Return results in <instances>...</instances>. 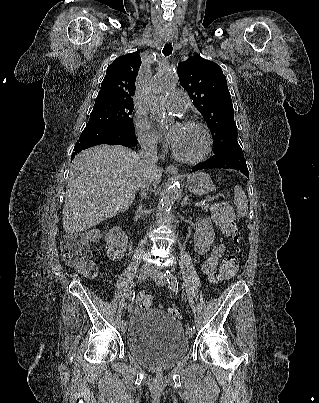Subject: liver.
<instances>
[{
  "instance_id": "6515ba94",
  "label": "liver",
  "mask_w": 319,
  "mask_h": 403,
  "mask_svg": "<svg viewBox=\"0 0 319 403\" xmlns=\"http://www.w3.org/2000/svg\"><path fill=\"white\" fill-rule=\"evenodd\" d=\"M147 171L135 151L120 146L100 145L79 153L72 162L63 207L67 233L85 231L128 209ZM162 172L151 173L152 182Z\"/></svg>"
}]
</instances>
